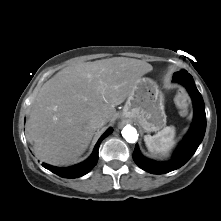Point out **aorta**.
<instances>
[{
    "instance_id": "1",
    "label": "aorta",
    "mask_w": 221,
    "mask_h": 221,
    "mask_svg": "<svg viewBox=\"0 0 221 221\" xmlns=\"http://www.w3.org/2000/svg\"><path fill=\"white\" fill-rule=\"evenodd\" d=\"M122 136L129 143H135L138 139L137 130L131 125H126L123 128Z\"/></svg>"
}]
</instances>
